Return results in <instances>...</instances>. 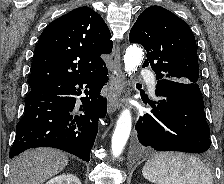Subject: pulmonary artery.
<instances>
[{
  "instance_id": "e3ab8cb5",
  "label": "pulmonary artery",
  "mask_w": 224,
  "mask_h": 184,
  "mask_svg": "<svg viewBox=\"0 0 224 184\" xmlns=\"http://www.w3.org/2000/svg\"><path fill=\"white\" fill-rule=\"evenodd\" d=\"M140 75H142V76H149V75H150V72H149L148 70H146V69H142V70L140 71ZM148 87H149V91H150L151 93H153L154 90H155V87H156V81L153 79V80L148 84Z\"/></svg>"
}]
</instances>
